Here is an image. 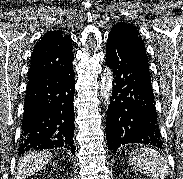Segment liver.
I'll return each mask as SVG.
<instances>
[{
    "label": "liver",
    "mask_w": 183,
    "mask_h": 179,
    "mask_svg": "<svg viewBox=\"0 0 183 179\" xmlns=\"http://www.w3.org/2000/svg\"><path fill=\"white\" fill-rule=\"evenodd\" d=\"M51 158L48 151H32L24 155L18 164V179H24L38 172Z\"/></svg>",
    "instance_id": "1"
}]
</instances>
